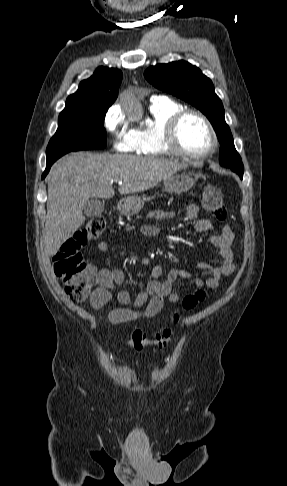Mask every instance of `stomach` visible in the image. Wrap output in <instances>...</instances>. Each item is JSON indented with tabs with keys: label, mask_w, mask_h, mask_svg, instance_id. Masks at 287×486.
Instances as JSON below:
<instances>
[{
	"label": "stomach",
	"mask_w": 287,
	"mask_h": 486,
	"mask_svg": "<svg viewBox=\"0 0 287 486\" xmlns=\"http://www.w3.org/2000/svg\"><path fill=\"white\" fill-rule=\"evenodd\" d=\"M195 184L194 178L187 174L173 175L164 180V191L183 193L189 191ZM144 206V199L138 195L122 198L118 203L119 211L124 215H132Z\"/></svg>",
	"instance_id": "1"
}]
</instances>
